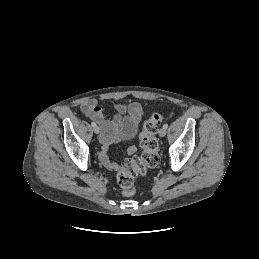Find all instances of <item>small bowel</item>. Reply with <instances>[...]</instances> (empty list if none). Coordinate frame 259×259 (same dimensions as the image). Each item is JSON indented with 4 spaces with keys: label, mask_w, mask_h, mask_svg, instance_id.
Returning <instances> with one entry per match:
<instances>
[{
    "label": "small bowel",
    "mask_w": 259,
    "mask_h": 259,
    "mask_svg": "<svg viewBox=\"0 0 259 259\" xmlns=\"http://www.w3.org/2000/svg\"><path fill=\"white\" fill-rule=\"evenodd\" d=\"M115 110L118 114H124L129 112L131 116V124L137 125L142 117L143 111L138 103L130 104H115ZM81 111L83 114L96 121L101 128L100 141L102 143V151L99 155L102 164L110 171H116L118 169V164L110 160L107 155L108 146L115 140L120 138V121L119 117L115 116L110 118L106 115L104 109L99 105L95 99H87L81 104ZM136 151L135 146H130L126 153L128 155L133 154Z\"/></svg>",
    "instance_id": "obj_1"
}]
</instances>
